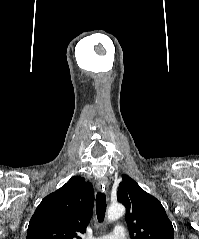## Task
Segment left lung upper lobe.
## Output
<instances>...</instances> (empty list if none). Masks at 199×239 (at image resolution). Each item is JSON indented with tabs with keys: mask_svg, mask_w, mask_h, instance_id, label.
<instances>
[{
	"mask_svg": "<svg viewBox=\"0 0 199 239\" xmlns=\"http://www.w3.org/2000/svg\"><path fill=\"white\" fill-rule=\"evenodd\" d=\"M117 199L126 207L131 239H174V228L162 204L128 175L122 176Z\"/></svg>",
	"mask_w": 199,
	"mask_h": 239,
	"instance_id": "1",
	"label": "left lung upper lobe"
}]
</instances>
